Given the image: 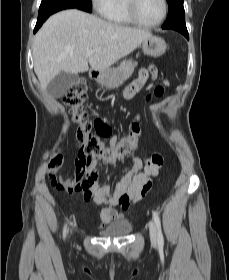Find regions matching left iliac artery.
<instances>
[{
	"label": "left iliac artery",
	"mask_w": 229,
	"mask_h": 280,
	"mask_svg": "<svg viewBox=\"0 0 229 280\" xmlns=\"http://www.w3.org/2000/svg\"><path fill=\"white\" fill-rule=\"evenodd\" d=\"M153 219L156 223V226H157V240H158V243L160 245H163L164 243V240H163V235H162V231H161V222H160V218L158 216V214L156 212H153Z\"/></svg>",
	"instance_id": "left-iliac-artery-1"
}]
</instances>
